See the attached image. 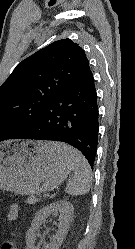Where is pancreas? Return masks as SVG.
I'll return each instance as SVG.
<instances>
[{"label":"pancreas","mask_w":135,"mask_h":249,"mask_svg":"<svg viewBox=\"0 0 135 249\" xmlns=\"http://www.w3.org/2000/svg\"><path fill=\"white\" fill-rule=\"evenodd\" d=\"M39 200H40V199L36 198L35 196H30V197H28V198L25 200V202H26L27 204H35V203H37Z\"/></svg>","instance_id":"obj_1"}]
</instances>
